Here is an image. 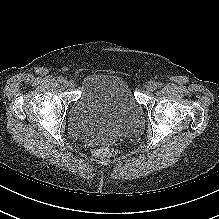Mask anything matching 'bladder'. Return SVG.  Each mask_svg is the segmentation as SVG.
Returning <instances> with one entry per match:
<instances>
[{"instance_id":"31cf9c89","label":"bladder","mask_w":219,"mask_h":219,"mask_svg":"<svg viewBox=\"0 0 219 219\" xmlns=\"http://www.w3.org/2000/svg\"><path fill=\"white\" fill-rule=\"evenodd\" d=\"M143 123V108L128 83L109 73L87 76L67 116L71 136L91 142H110L133 134Z\"/></svg>"}]
</instances>
